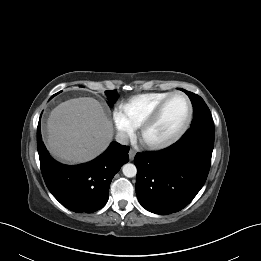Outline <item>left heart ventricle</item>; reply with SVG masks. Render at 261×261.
I'll list each match as a JSON object with an SVG mask.
<instances>
[{"mask_svg":"<svg viewBox=\"0 0 261 261\" xmlns=\"http://www.w3.org/2000/svg\"><path fill=\"white\" fill-rule=\"evenodd\" d=\"M187 103L182 96L172 97L165 105L156 123L146 133L149 140H161L176 133L187 117Z\"/></svg>","mask_w":261,"mask_h":261,"instance_id":"b2bd125f","label":"left heart ventricle"}]
</instances>
